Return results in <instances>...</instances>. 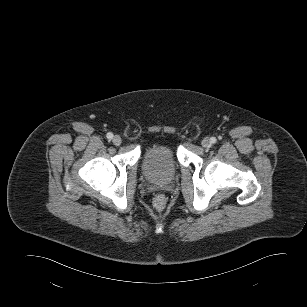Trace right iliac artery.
<instances>
[{
    "instance_id": "right-iliac-artery-1",
    "label": "right iliac artery",
    "mask_w": 307,
    "mask_h": 307,
    "mask_svg": "<svg viewBox=\"0 0 307 307\" xmlns=\"http://www.w3.org/2000/svg\"><path fill=\"white\" fill-rule=\"evenodd\" d=\"M107 138L109 139V140H111L112 138H113V134L111 133V132H109V133H107Z\"/></svg>"
}]
</instances>
